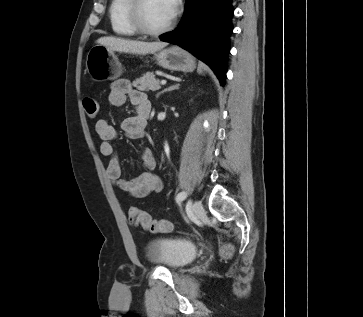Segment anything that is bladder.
Listing matches in <instances>:
<instances>
[{"label":"bladder","mask_w":363,"mask_h":317,"mask_svg":"<svg viewBox=\"0 0 363 317\" xmlns=\"http://www.w3.org/2000/svg\"><path fill=\"white\" fill-rule=\"evenodd\" d=\"M144 253L151 264L175 271L192 262L198 255V249L188 240L162 237L150 240Z\"/></svg>","instance_id":"obj_1"}]
</instances>
